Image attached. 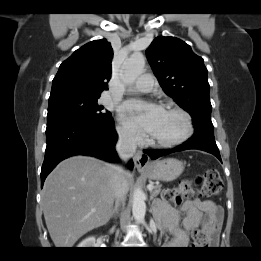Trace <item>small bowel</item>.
Instances as JSON below:
<instances>
[{"mask_svg": "<svg viewBox=\"0 0 261 261\" xmlns=\"http://www.w3.org/2000/svg\"><path fill=\"white\" fill-rule=\"evenodd\" d=\"M161 212L168 214V219L163 222L164 227L177 236L181 235L182 230L194 232L202 221L206 220L215 227L212 240H215L223 218V212L218 205L213 201L199 198L184 201L178 209L164 205Z\"/></svg>", "mask_w": 261, "mask_h": 261, "instance_id": "small-bowel-1", "label": "small bowel"}]
</instances>
